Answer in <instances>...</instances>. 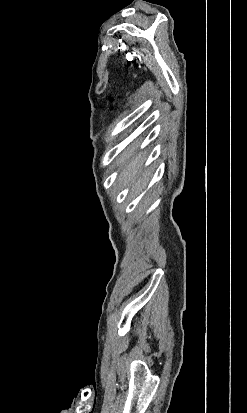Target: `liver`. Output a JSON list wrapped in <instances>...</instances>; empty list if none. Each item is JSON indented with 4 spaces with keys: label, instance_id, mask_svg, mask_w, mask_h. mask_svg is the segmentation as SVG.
I'll return each instance as SVG.
<instances>
[{
    "label": "liver",
    "instance_id": "obj_1",
    "mask_svg": "<svg viewBox=\"0 0 247 413\" xmlns=\"http://www.w3.org/2000/svg\"><path fill=\"white\" fill-rule=\"evenodd\" d=\"M135 148H137V144L132 142L130 146H127L126 150L121 152L116 162V166L122 168V172H120L118 176V182L119 184H123V186L132 184L131 190H133V192H131V194H133V196L139 194V192L145 188L147 180L152 174V170H149V168L144 170V172H141L142 166L146 160V152H139V154L133 156ZM131 156H133V158H131Z\"/></svg>",
    "mask_w": 247,
    "mask_h": 413
}]
</instances>
